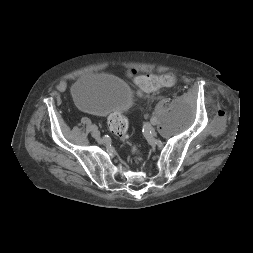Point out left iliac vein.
Listing matches in <instances>:
<instances>
[{"label":"left iliac vein","instance_id":"4c4485c4","mask_svg":"<svg viewBox=\"0 0 253 253\" xmlns=\"http://www.w3.org/2000/svg\"><path fill=\"white\" fill-rule=\"evenodd\" d=\"M148 125H149V129H150L149 135L154 136L156 134L154 128L150 124H148Z\"/></svg>","mask_w":253,"mask_h":253}]
</instances>
